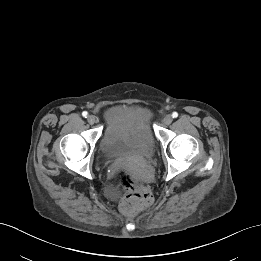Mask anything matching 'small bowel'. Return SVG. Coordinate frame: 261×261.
Wrapping results in <instances>:
<instances>
[{
    "label": "small bowel",
    "mask_w": 261,
    "mask_h": 261,
    "mask_svg": "<svg viewBox=\"0 0 261 261\" xmlns=\"http://www.w3.org/2000/svg\"><path fill=\"white\" fill-rule=\"evenodd\" d=\"M123 113L124 110L122 106H114L109 108L106 111V121L108 123V127L112 129H118L122 128L125 124H132L122 119Z\"/></svg>",
    "instance_id": "1"
}]
</instances>
